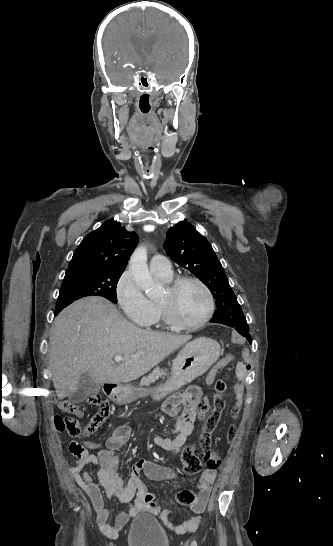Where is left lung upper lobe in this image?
Returning a JSON list of instances; mask_svg holds the SVG:
<instances>
[{"label": "left lung upper lobe", "instance_id": "left-lung-upper-lobe-1", "mask_svg": "<svg viewBox=\"0 0 333 546\" xmlns=\"http://www.w3.org/2000/svg\"><path fill=\"white\" fill-rule=\"evenodd\" d=\"M166 254L196 275L212 292L218 308L213 317L232 327L247 324L223 267L208 242L187 222H179L167 232Z\"/></svg>", "mask_w": 333, "mask_h": 546}]
</instances>
